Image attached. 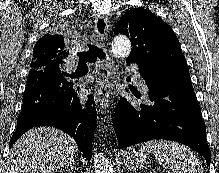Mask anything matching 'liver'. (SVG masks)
<instances>
[{
	"instance_id": "obj_1",
	"label": "liver",
	"mask_w": 219,
	"mask_h": 173,
	"mask_svg": "<svg viewBox=\"0 0 219 173\" xmlns=\"http://www.w3.org/2000/svg\"><path fill=\"white\" fill-rule=\"evenodd\" d=\"M77 149L74 138L59 129L34 128L15 142L4 173H55L73 161Z\"/></svg>"
}]
</instances>
